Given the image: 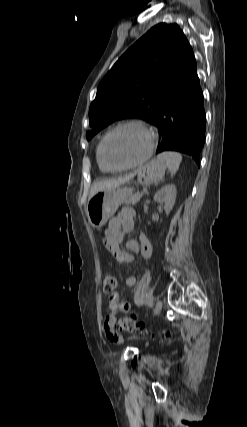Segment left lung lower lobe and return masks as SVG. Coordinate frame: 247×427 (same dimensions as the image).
<instances>
[{"label": "left lung lower lobe", "mask_w": 247, "mask_h": 427, "mask_svg": "<svg viewBox=\"0 0 247 427\" xmlns=\"http://www.w3.org/2000/svg\"><path fill=\"white\" fill-rule=\"evenodd\" d=\"M197 71L165 99L154 123L159 128L156 153L175 150L190 155L200 165L205 142L206 115Z\"/></svg>", "instance_id": "0a47b994"}]
</instances>
